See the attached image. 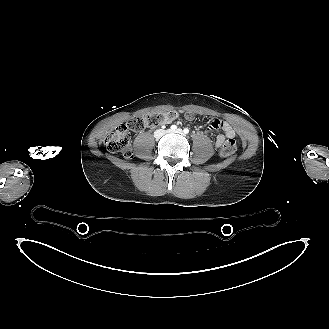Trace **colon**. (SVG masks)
Masks as SVG:
<instances>
[{
    "label": "colon",
    "instance_id": "5ec220e1",
    "mask_svg": "<svg viewBox=\"0 0 329 329\" xmlns=\"http://www.w3.org/2000/svg\"><path fill=\"white\" fill-rule=\"evenodd\" d=\"M176 118L177 113L173 111L133 116L126 123L120 124L113 132L109 133L105 137L104 144L110 152L119 154L125 159H130L132 157L130 131L141 132L146 128L159 126ZM187 118L191 119L192 115L188 114ZM236 148V140L229 138L221 145L220 154L223 157L231 156Z\"/></svg>",
    "mask_w": 329,
    "mask_h": 329
}]
</instances>
